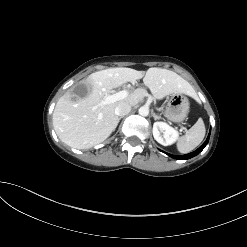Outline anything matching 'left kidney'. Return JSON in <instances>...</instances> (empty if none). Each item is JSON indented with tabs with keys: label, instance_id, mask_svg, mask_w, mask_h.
<instances>
[{
	"label": "left kidney",
	"instance_id": "obj_1",
	"mask_svg": "<svg viewBox=\"0 0 247 247\" xmlns=\"http://www.w3.org/2000/svg\"><path fill=\"white\" fill-rule=\"evenodd\" d=\"M154 139L163 146L173 144L178 139V132L165 122L153 124Z\"/></svg>",
	"mask_w": 247,
	"mask_h": 247
}]
</instances>
